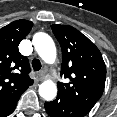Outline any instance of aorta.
I'll use <instances>...</instances> for the list:
<instances>
[{
  "mask_svg": "<svg viewBox=\"0 0 117 117\" xmlns=\"http://www.w3.org/2000/svg\"><path fill=\"white\" fill-rule=\"evenodd\" d=\"M33 45L38 55L48 64L56 60V47L53 39L44 32H38L33 36ZM39 95L46 101H52L57 95V86L52 80H46L39 86Z\"/></svg>",
  "mask_w": 117,
  "mask_h": 117,
  "instance_id": "1",
  "label": "aorta"
}]
</instances>
